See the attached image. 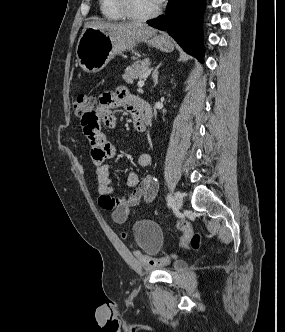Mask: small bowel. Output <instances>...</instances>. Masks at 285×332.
I'll return each mask as SVG.
<instances>
[{
  "label": "small bowel",
  "instance_id": "small-bowel-1",
  "mask_svg": "<svg viewBox=\"0 0 285 332\" xmlns=\"http://www.w3.org/2000/svg\"><path fill=\"white\" fill-rule=\"evenodd\" d=\"M110 108H123L131 113L138 133L143 132L145 126L140 119L137 99L123 86L97 96V105L89 107L88 111H83V115H79L83 133L91 142V156L96 163L98 203L102 209L111 212L115 223L123 224L131 216L135 207L141 203H149L155 198L158 183L151 175H146L140 180L139 171L152 163L151 155L142 153L138 156L136 169L127 177V185L133 189L132 192L123 198L114 196L110 165L106 163V160L116 156L117 148L102 134L104 130H108V126L112 127L115 124L114 113Z\"/></svg>",
  "mask_w": 285,
  "mask_h": 332
}]
</instances>
